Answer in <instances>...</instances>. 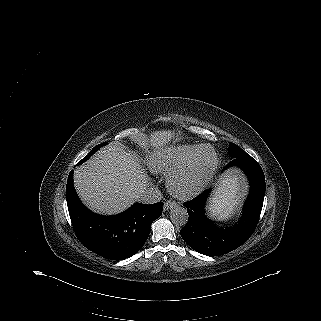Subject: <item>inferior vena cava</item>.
<instances>
[{"label":"inferior vena cava","mask_w":321,"mask_h":321,"mask_svg":"<svg viewBox=\"0 0 321 321\" xmlns=\"http://www.w3.org/2000/svg\"><path fill=\"white\" fill-rule=\"evenodd\" d=\"M162 199V193L157 188H146L140 196V201L143 204H154Z\"/></svg>","instance_id":"inferior-vena-cava-1"}]
</instances>
